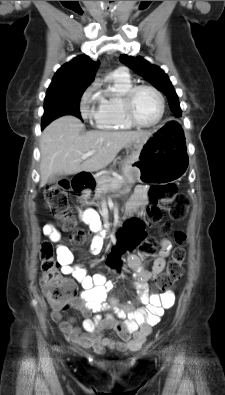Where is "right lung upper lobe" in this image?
<instances>
[{
  "mask_svg": "<svg viewBox=\"0 0 225 395\" xmlns=\"http://www.w3.org/2000/svg\"><path fill=\"white\" fill-rule=\"evenodd\" d=\"M98 65L86 55L77 56L58 69L49 87H88L94 80Z\"/></svg>",
  "mask_w": 225,
  "mask_h": 395,
  "instance_id": "right-lung-upper-lobe-1",
  "label": "right lung upper lobe"
}]
</instances>
